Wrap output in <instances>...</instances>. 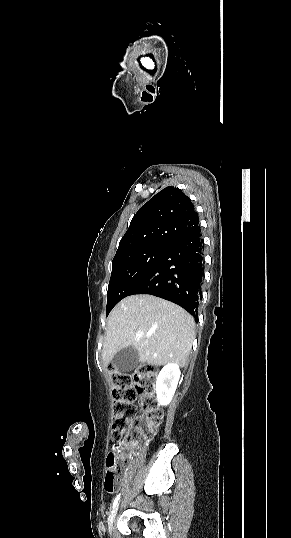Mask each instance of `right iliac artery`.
I'll use <instances>...</instances> for the list:
<instances>
[{"instance_id": "obj_1", "label": "right iliac artery", "mask_w": 291, "mask_h": 538, "mask_svg": "<svg viewBox=\"0 0 291 538\" xmlns=\"http://www.w3.org/2000/svg\"><path fill=\"white\" fill-rule=\"evenodd\" d=\"M120 495H121V494H118V495L116 496V498L114 499L112 508H114V507L118 504V501H119V499H120Z\"/></svg>"}]
</instances>
